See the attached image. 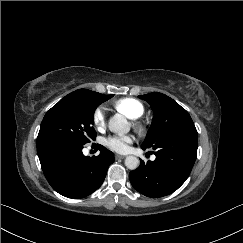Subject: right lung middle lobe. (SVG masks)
<instances>
[{"label": "right lung middle lobe", "mask_w": 243, "mask_h": 243, "mask_svg": "<svg viewBox=\"0 0 243 243\" xmlns=\"http://www.w3.org/2000/svg\"><path fill=\"white\" fill-rule=\"evenodd\" d=\"M112 97L113 95H104L92 99L65 96L44 116L37 137V147L49 143L85 145L95 140V108Z\"/></svg>", "instance_id": "obj_1"}]
</instances>
